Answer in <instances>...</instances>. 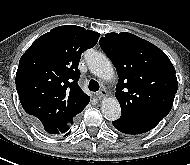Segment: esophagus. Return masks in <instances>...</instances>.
I'll return each mask as SVG.
<instances>
[{
  "label": "esophagus",
  "instance_id": "34e87169",
  "mask_svg": "<svg viewBox=\"0 0 190 165\" xmlns=\"http://www.w3.org/2000/svg\"><path fill=\"white\" fill-rule=\"evenodd\" d=\"M108 96V93H107V91L106 90H101V91H99L98 93H97V97L101 100V99H103V98H105V97H107Z\"/></svg>",
  "mask_w": 190,
  "mask_h": 165
}]
</instances>
